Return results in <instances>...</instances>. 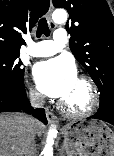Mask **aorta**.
<instances>
[{
    "instance_id": "1",
    "label": "aorta",
    "mask_w": 114,
    "mask_h": 156,
    "mask_svg": "<svg viewBox=\"0 0 114 156\" xmlns=\"http://www.w3.org/2000/svg\"><path fill=\"white\" fill-rule=\"evenodd\" d=\"M52 18L55 23H65L67 20V13L63 9H57L53 12ZM56 134L57 130L55 127L49 129L46 145L43 149V156H53V143Z\"/></svg>"
}]
</instances>
